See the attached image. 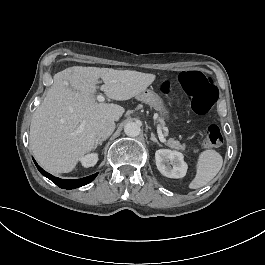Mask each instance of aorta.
<instances>
[{"instance_id": "obj_1", "label": "aorta", "mask_w": 265, "mask_h": 265, "mask_svg": "<svg viewBox=\"0 0 265 265\" xmlns=\"http://www.w3.org/2000/svg\"><path fill=\"white\" fill-rule=\"evenodd\" d=\"M124 132L129 137H136L140 135L141 128L136 122H129L124 126Z\"/></svg>"}]
</instances>
